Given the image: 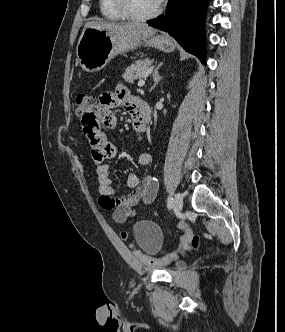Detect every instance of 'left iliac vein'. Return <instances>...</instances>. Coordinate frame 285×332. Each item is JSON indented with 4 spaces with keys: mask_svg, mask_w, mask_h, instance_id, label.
Wrapping results in <instances>:
<instances>
[{
    "mask_svg": "<svg viewBox=\"0 0 285 332\" xmlns=\"http://www.w3.org/2000/svg\"><path fill=\"white\" fill-rule=\"evenodd\" d=\"M175 210L177 212H181L183 208V197L180 193H176L174 196V201H173Z\"/></svg>",
    "mask_w": 285,
    "mask_h": 332,
    "instance_id": "4c4485c4",
    "label": "left iliac vein"
}]
</instances>
